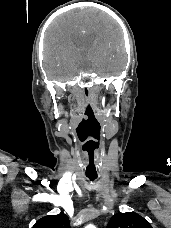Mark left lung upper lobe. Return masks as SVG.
Listing matches in <instances>:
<instances>
[{
    "label": "left lung upper lobe",
    "instance_id": "1",
    "mask_svg": "<svg viewBox=\"0 0 171 228\" xmlns=\"http://www.w3.org/2000/svg\"><path fill=\"white\" fill-rule=\"evenodd\" d=\"M108 228H152L149 222L136 213L115 214L108 223Z\"/></svg>",
    "mask_w": 171,
    "mask_h": 228
}]
</instances>
